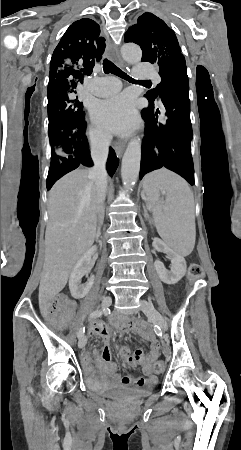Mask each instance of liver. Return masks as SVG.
I'll list each match as a JSON object with an SVG mask.
<instances>
[{
    "label": "liver",
    "instance_id": "1",
    "mask_svg": "<svg viewBox=\"0 0 241 450\" xmlns=\"http://www.w3.org/2000/svg\"><path fill=\"white\" fill-rule=\"evenodd\" d=\"M89 170H74L51 188L45 260L39 286L40 304H48L67 284L70 272L90 250L97 230V186L90 190Z\"/></svg>",
    "mask_w": 241,
    "mask_h": 450
}]
</instances>
